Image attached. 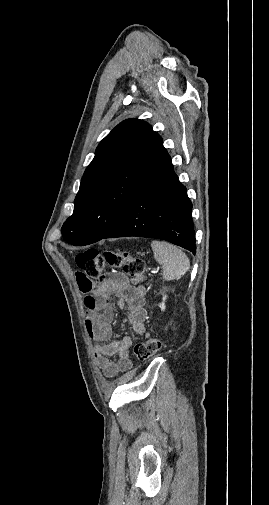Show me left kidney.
<instances>
[{
  "label": "left kidney",
  "mask_w": 269,
  "mask_h": 505,
  "mask_svg": "<svg viewBox=\"0 0 269 505\" xmlns=\"http://www.w3.org/2000/svg\"><path fill=\"white\" fill-rule=\"evenodd\" d=\"M166 298H167V296H163V301L159 305L161 311L165 310V300H166Z\"/></svg>",
  "instance_id": "obj_1"
}]
</instances>
